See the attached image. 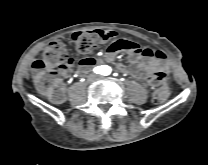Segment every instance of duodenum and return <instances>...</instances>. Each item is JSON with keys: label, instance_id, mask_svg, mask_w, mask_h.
<instances>
[{"label": "duodenum", "instance_id": "duodenum-1", "mask_svg": "<svg viewBox=\"0 0 208 165\" xmlns=\"http://www.w3.org/2000/svg\"><path fill=\"white\" fill-rule=\"evenodd\" d=\"M85 68H87V67H81V70H83V69H85Z\"/></svg>", "mask_w": 208, "mask_h": 165}]
</instances>
